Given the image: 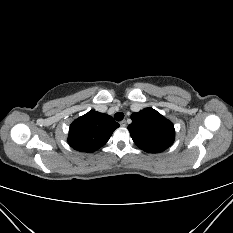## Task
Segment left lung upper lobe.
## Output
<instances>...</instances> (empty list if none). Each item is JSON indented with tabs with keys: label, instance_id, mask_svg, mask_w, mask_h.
Segmentation results:
<instances>
[{
	"label": "left lung upper lobe",
	"instance_id": "1",
	"mask_svg": "<svg viewBox=\"0 0 233 233\" xmlns=\"http://www.w3.org/2000/svg\"><path fill=\"white\" fill-rule=\"evenodd\" d=\"M128 126L135 144L148 153H159L170 147L175 138L172 122L153 108H145L131 115Z\"/></svg>",
	"mask_w": 233,
	"mask_h": 233
}]
</instances>
